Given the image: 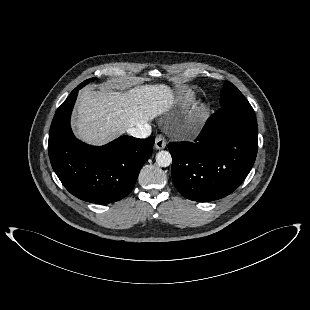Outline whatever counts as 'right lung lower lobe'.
<instances>
[{
  "label": "right lung lower lobe",
  "mask_w": 310,
  "mask_h": 310,
  "mask_svg": "<svg viewBox=\"0 0 310 310\" xmlns=\"http://www.w3.org/2000/svg\"><path fill=\"white\" fill-rule=\"evenodd\" d=\"M79 89L71 92L54 115L48 142L51 165L65 188L79 199L98 204L119 201L133 189L153 152L154 138L122 136L101 147L79 141L70 127Z\"/></svg>",
  "instance_id": "right-lung-lower-lobe-1"
}]
</instances>
